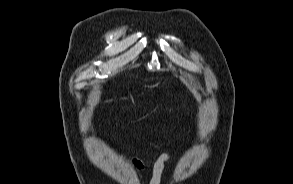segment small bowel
Wrapping results in <instances>:
<instances>
[{
	"mask_svg": "<svg viewBox=\"0 0 293 184\" xmlns=\"http://www.w3.org/2000/svg\"><path fill=\"white\" fill-rule=\"evenodd\" d=\"M128 158L132 162L134 170L136 171L138 176L140 178H143L146 171V165L133 156H129ZM170 159L171 156L169 153L162 152L158 155V157L151 166V177L149 180V184H160L165 165L167 162L170 161Z\"/></svg>",
	"mask_w": 293,
	"mask_h": 184,
	"instance_id": "obj_1",
	"label": "small bowel"
}]
</instances>
